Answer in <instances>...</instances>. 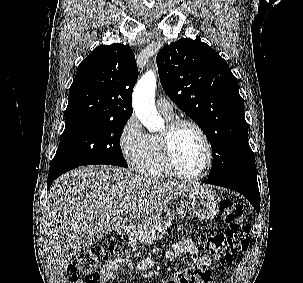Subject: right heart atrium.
I'll return each mask as SVG.
<instances>
[{
	"label": "right heart atrium",
	"instance_id": "right-heart-atrium-1",
	"mask_svg": "<svg viewBox=\"0 0 303 283\" xmlns=\"http://www.w3.org/2000/svg\"><path fill=\"white\" fill-rule=\"evenodd\" d=\"M148 138L137 117L131 115L122 126L118 138L120 151L127 163L136 165L146 150Z\"/></svg>",
	"mask_w": 303,
	"mask_h": 283
}]
</instances>
